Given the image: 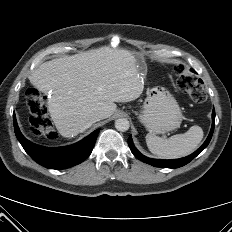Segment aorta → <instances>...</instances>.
Masks as SVG:
<instances>
[{"instance_id":"1","label":"aorta","mask_w":232,"mask_h":232,"mask_svg":"<svg viewBox=\"0 0 232 232\" xmlns=\"http://www.w3.org/2000/svg\"><path fill=\"white\" fill-rule=\"evenodd\" d=\"M130 123L126 118H119L115 120V128L118 131L125 132L129 129Z\"/></svg>"}]
</instances>
